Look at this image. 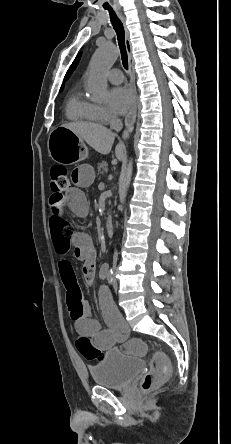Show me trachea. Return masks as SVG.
Returning <instances> with one entry per match:
<instances>
[{
    "instance_id": "3493384b",
    "label": "trachea",
    "mask_w": 231,
    "mask_h": 444,
    "mask_svg": "<svg viewBox=\"0 0 231 444\" xmlns=\"http://www.w3.org/2000/svg\"><path fill=\"white\" fill-rule=\"evenodd\" d=\"M110 14L111 23L113 25L114 30L117 34L118 44L121 51L122 63L124 68L128 69V55L125 45V30L122 22L118 19L115 12L113 10H108Z\"/></svg>"
}]
</instances>
